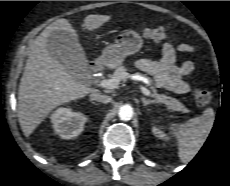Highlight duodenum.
I'll return each instance as SVG.
<instances>
[{"instance_id": "obj_1", "label": "duodenum", "mask_w": 230, "mask_h": 186, "mask_svg": "<svg viewBox=\"0 0 230 186\" xmlns=\"http://www.w3.org/2000/svg\"><path fill=\"white\" fill-rule=\"evenodd\" d=\"M101 68V64L99 62H92L89 65V69L91 72H98Z\"/></svg>"}]
</instances>
